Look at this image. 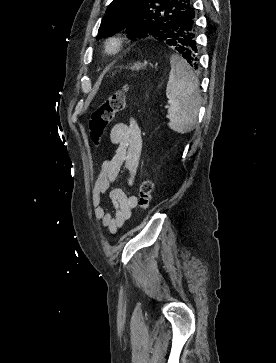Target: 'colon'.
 I'll list each match as a JSON object with an SVG mask.
<instances>
[{
	"label": "colon",
	"instance_id": "obj_1",
	"mask_svg": "<svg viewBox=\"0 0 276 363\" xmlns=\"http://www.w3.org/2000/svg\"><path fill=\"white\" fill-rule=\"evenodd\" d=\"M127 88L114 91L92 114L89 120V131L95 141L103 136L105 129L111 124L115 115L126 106ZM153 184L144 179L138 190V205L146 209L152 200Z\"/></svg>",
	"mask_w": 276,
	"mask_h": 363
}]
</instances>
